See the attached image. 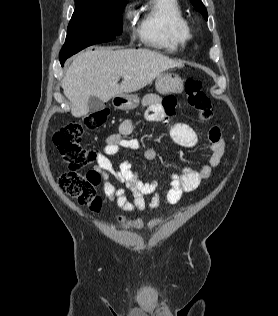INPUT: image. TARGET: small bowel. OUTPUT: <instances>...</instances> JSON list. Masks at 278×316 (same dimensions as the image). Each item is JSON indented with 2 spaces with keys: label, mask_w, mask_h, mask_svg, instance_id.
Here are the masks:
<instances>
[{
  "label": "small bowel",
  "mask_w": 278,
  "mask_h": 316,
  "mask_svg": "<svg viewBox=\"0 0 278 316\" xmlns=\"http://www.w3.org/2000/svg\"><path fill=\"white\" fill-rule=\"evenodd\" d=\"M142 104L147 107L146 119L150 122H160L173 113L176 101L172 96L161 99L156 94H147L143 97ZM133 129L134 122L132 119L123 120L119 125L118 132L109 135L103 149L96 153L94 166V172L103 176V189L107 199L114 202L125 212L145 210L147 206L145 198L147 196L151 198L149 203L151 208H158L161 201L155 181H142L129 161H123L116 168L109 158L117 155L123 149H141V144L137 139L128 138ZM169 133L174 142L182 147L192 148L198 143L196 132L185 123L172 124ZM208 140L210 154L207 163L201 165L198 169L185 166L179 173L171 174V187L166 195V201L169 204L178 203L185 193L196 190L212 176L213 170L221 163L225 154V142L219 126L213 125L210 127ZM143 157L149 161L154 160L157 157V152L154 148H146L143 150ZM118 183L125 184L128 187L130 198L127 197L125 189L118 187ZM115 219L123 226L134 230H140L144 226V222L140 217L127 218L119 215ZM161 221L162 217H156L149 221L147 226L149 229H153Z\"/></svg>",
  "instance_id": "1"
}]
</instances>
